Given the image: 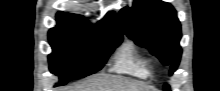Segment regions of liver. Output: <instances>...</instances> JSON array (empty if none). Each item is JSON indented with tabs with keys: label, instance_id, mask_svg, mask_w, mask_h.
<instances>
[{
	"label": "liver",
	"instance_id": "6515ba94",
	"mask_svg": "<svg viewBox=\"0 0 220 91\" xmlns=\"http://www.w3.org/2000/svg\"><path fill=\"white\" fill-rule=\"evenodd\" d=\"M65 91H150L147 86L117 76H94Z\"/></svg>",
	"mask_w": 220,
	"mask_h": 91
}]
</instances>
